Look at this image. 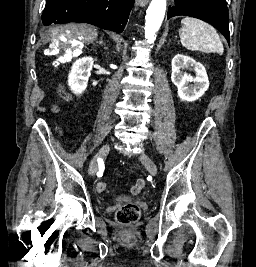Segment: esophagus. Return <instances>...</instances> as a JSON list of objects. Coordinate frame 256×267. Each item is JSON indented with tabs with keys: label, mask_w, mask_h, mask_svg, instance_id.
I'll return each mask as SVG.
<instances>
[{
	"label": "esophagus",
	"mask_w": 256,
	"mask_h": 267,
	"mask_svg": "<svg viewBox=\"0 0 256 267\" xmlns=\"http://www.w3.org/2000/svg\"><path fill=\"white\" fill-rule=\"evenodd\" d=\"M137 6H145L149 2V0H135Z\"/></svg>",
	"instance_id": "1"
}]
</instances>
